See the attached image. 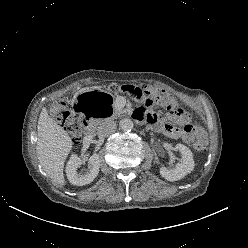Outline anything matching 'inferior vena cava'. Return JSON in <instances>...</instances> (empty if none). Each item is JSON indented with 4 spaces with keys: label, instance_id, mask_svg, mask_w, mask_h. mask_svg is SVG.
Here are the masks:
<instances>
[{
    "label": "inferior vena cava",
    "instance_id": "602c4592",
    "mask_svg": "<svg viewBox=\"0 0 248 248\" xmlns=\"http://www.w3.org/2000/svg\"><path fill=\"white\" fill-rule=\"evenodd\" d=\"M116 130V123L112 120L103 122L98 128V134L102 137L111 135Z\"/></svg>",
    "mask_w": 248,
    "mask_h": 248
}]
</instances>
